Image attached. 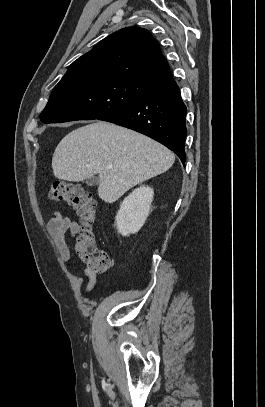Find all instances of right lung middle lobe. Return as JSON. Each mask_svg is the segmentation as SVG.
<instances>
[{"instance_id": "obj_1", "label": "right lung middle lobe", "mask_w": 265, "mask_h": 407, "mask_svg": "<svg viewBox=\"0 0 265 407\" xmlns=\"http://www.w3.org/2000/svg\"><path fill=\"white\" fill-rule=\"evenodd\" d=\"M152 88L101 74L73 76L55 86L39 118L43 123L100 119L136 104Z\"/></svg>"}]
</instances>
